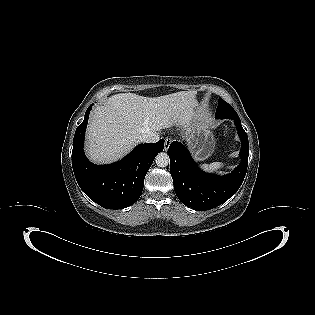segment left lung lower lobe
Segmentation results:
<instances>
[{
    "label": "left lung lower lobe",
    "mask_w": 315,
    "mask_h": 315,
    "mask_svg": "<svg viewBox=\"0 0 315 315\" xmlns=\"http://www.w3.org/2000/svg\"><path fill=\"white\" fill-rule=\"evenodd\" d=\"M242 142L241 162L225 176L204 173L186 146L174 141L169 146L170 173L178 199L195 210H208L227 201L241 186L247 171L249 143L240 119H233Z\"/></svg>",
    "instance_id": "obj_1"
}]
</instances>
